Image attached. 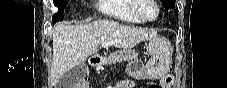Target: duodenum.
I'll use <instances>...</instances> for the list:
<instances>
[{
    "label": "duodenum",
    "instance_id": "1",
    "mask_svg": "<svg viewBox=\"0 0 227 88\" xmlns=\"http://www.w3.org/2000/svg\"><path fill=\"white\" fill-rule=\"evenodd\" d=\"M97 61H98L97 59H91V60L89 61V65H90L91 67H95V66L98 65V62H97Z\"/></svg>",
    "mask_w": 227,
    "mask_h": 88
}]
</instances>
